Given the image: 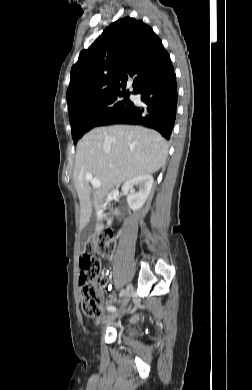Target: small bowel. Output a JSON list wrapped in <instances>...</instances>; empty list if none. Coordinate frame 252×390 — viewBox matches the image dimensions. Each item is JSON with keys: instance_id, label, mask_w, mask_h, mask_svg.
<instances>
[{"instance_id": "obj_1", "label": "small bowel", "mask_w": 252, "mask_h": 390, "mask_svg": "<svg viewBox=\"0 0 252 390\" xmlns=\"http://www.w3.org/2000/svg\"><path fill=\"white\" fill-rule=\"evenodd\" d=\"M101 295H103V293L101 292ZM117 302V296L116 294H110L106 300H105V305L106 306H111L113 303H116ZM133 319H136V316L133 317Z\"/></svg>"}]
</instances>
